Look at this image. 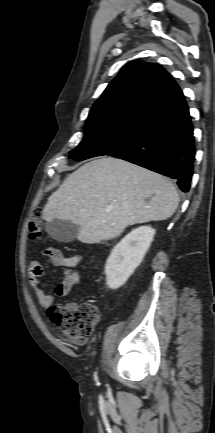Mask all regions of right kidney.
Instances as JSON below:
<instances>
[{"instance_id":"right-kidney-1","label":"right kidney","mask_w":215,"mask_h":433,"mask_svg":"<svg viewBox=\"0 0 215 433\" xmlns=\"http://www.w3.org/2000/svg\"><path fill=\"white\" fill-rule=\"evenodd\" d=\"M155 229L141 226L127 234L112 250L105 265L106 282L109 288L121 287L142 262Z\"/></svg>"}]
</instances>
